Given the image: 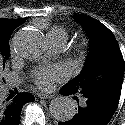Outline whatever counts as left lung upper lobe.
<instances>
[{"instance_id": "1", "label": "left lung upper lobe", "mask_w": 125, "mask_h": 125, "mask_svg": "<svg viewBox=\"0 0 125 125\" xmlns=\"http://www.w3.org/2000/svg\"><path fill=\"white\" fill-rule=\"evenodd\" d=\"M90 37V51L83 71L64 87L84 98L121 94L124 60L113 33L101 22L74 15Z\"/></svg>"}]
</instances>
